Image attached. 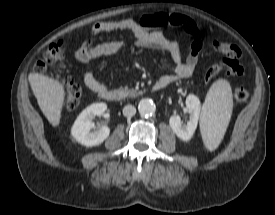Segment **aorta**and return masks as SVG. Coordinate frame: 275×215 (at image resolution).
Listing matches in <instances>:
<instances>
[{
	"label": "aorta",
	"instance_id": "762f6f07",
	"mask_svg": "<svg viewBox=\"0 0 275 215\" xmlns=\"http://www.w3.org/2000/svg\"><path fill=\"white\" fill-rule=\"evenodd\" d=\"M138 111L142 116H151L156 111L155 104L148 99H142L138 105Z\"/></svg>",
	"mask_w": 275,
	"mask_h": 215
}]
</instances>
